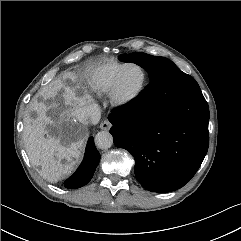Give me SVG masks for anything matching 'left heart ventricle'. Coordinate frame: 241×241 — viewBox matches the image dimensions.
Returning a JSON list of instances; mask_svg holds the SVG:
<instances>
[{"instance_id": "1", "label": "left heart ventricle", "mask_w": 241, "mask_h": 241, "mask_svg": "<svg viewBox=\"0 0 241 241\" xmlns=\"http://www.w3.org/2000/svg\"><path fill=\"white\" fill-rule=\"evenodd\" d=\"M143 78L142 72L136 67L128 68L120 78L119 87L127 93L136 89Z\"/></svg>"}]
</instances>
